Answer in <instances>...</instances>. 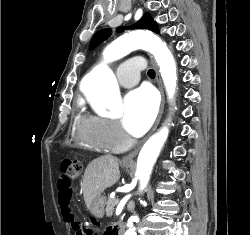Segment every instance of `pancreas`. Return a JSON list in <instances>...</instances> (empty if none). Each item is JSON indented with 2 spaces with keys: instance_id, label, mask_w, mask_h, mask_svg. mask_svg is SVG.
Listing matches in <instances>:
<instances>
[{
  "instance_id": "1",
  "label": "pancreas",
  "mask_w": 250,
  "mask_h": 235,
  "mask_svg": "<svg viewBox=\"0 0 250 235\" xmlns=\"http://www.w3.org/2000/svg\"><path fill=\"white\" fill-rule=\"evenodd\" d=\"M116 198H108L107 202H106V215L108 217H111L114 211V207L116 205L115 203Z\"/></svg>"
}]
</instances>
